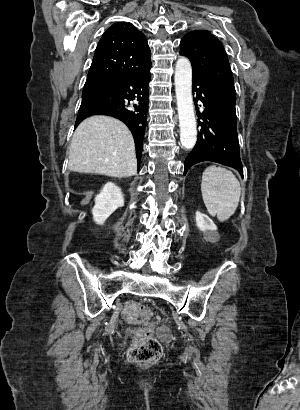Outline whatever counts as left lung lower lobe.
<instances>
[{"label":"left lung lower lobe","instance_id":"left-lung-lower-lobe-1","mask_svg":"<svg viewBox=\"0 0 300 410\" xmlns=\"http://www.w3.org/2000/svg\"><path fill=\"white\" fill-rule=\"evenodd\" d=\"M193 95H196V112L202 118L195 147L186 157L184 175L196 163L213 161L235 168L243 166L239 154L236 127V97L215 81L193 73ZM205 107L199 113L197 101Z\"/></svg>","mask_w":300,"mask_h":410}]
</instances>
